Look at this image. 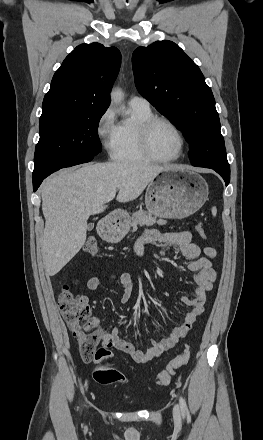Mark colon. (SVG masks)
<instances>
[{"instance_id":"colon-1","label":"colon","mask_w":263,"mask_h":440,"mask_svg":"<svg viewBox=\"0 0 263 440\" xmlns=\"http://www.w3.org/2000/svg\"><path fill=\"white\" fill-rule=\"evenodd\" d=\"M200 237L205 238V229L201 224L196 226ZM84 252L92 257L98 256V247L95 239L90 238L83 248ZM59 309L66 321L72 336L78 342V351L82 360H93L96 367L93 378L98 383L114 384L125 383L126 378L110 365L111 352L105 348L96 350L98 335L92 324L91 309L87 298L70 290L69 285L63 284L58 297ZM189 346L163 370L156 379L157 386H167L177 372L188 362Z\"/></svg>"}]
</instances>
